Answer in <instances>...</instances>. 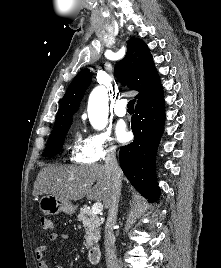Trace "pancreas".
Returning a JSON list of instances; mask_svg holds the SVG:
<instances>
[{"instance_id":"1","label":"pancreas","mask_w":221,"mask_h":268,"mask_svg":"<svg viewBox=\"0 0 221 268\" xmlns=\"http://www.w3.org/2000/svg\"><path fill=\"white\" fill-rule=\"evenodd\" d=\"M78 220L82 221L85 228L84 246L89 249L98 243L100 239V218L92 214L87 206L80 208Z\"/></svg>"}]
</instances>
